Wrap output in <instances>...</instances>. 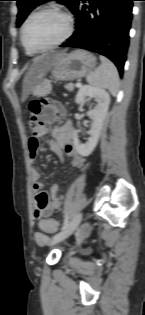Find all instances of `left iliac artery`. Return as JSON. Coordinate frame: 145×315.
<instances>
[{
  "instance_id": "44dca946",
  "label": "left iliac artery",
  "mask_w": 145,
  "mask_h": 315,
  "mask_svg": "<svg viewBox=\"0 0 145 315\" xmlns=\"http://www.w3.org/2000/svg\"><path fill=\"white\" fill-rule=\"evenodd\" d=\"M69 224V220H68V216L65 214V218H64V222H63V226L61 228V230H64Z\"/></svg>"
}]
</instances>
